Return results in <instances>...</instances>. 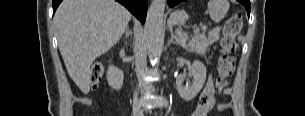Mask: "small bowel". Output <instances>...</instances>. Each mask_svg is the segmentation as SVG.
<instances>
[{"mask_svg":"<svg viewBox=\"0 0 305 116\" xmlns=\"http://www.w3.org/2000/svg\"><path fill=\"white\" fill-rule=\"evenodd\" d=\"M216 103V95L212 77L209 76L207 82L200 94L198 103L192 113V116H208L210 110ZM227 108L226 104L218 105V110L222 111Z\"/></svg>","mask_w":305,"mask_h":116,"instance_id":"obj_1","label":"small bowel"}]
</instances>
